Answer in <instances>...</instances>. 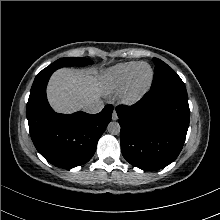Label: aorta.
Masks as SVG:
<instances>
[{
    "instance_id": "762f6f07",
    "label": "aorta",
    "mask_w": 220,
    "mask_h": 220,
    "mask_svg": "<svg viewBox=\"0 0 220 220\" xmlns=\"http://www.w3.org/2000/svg\"><path fill=\"white\" fill-rule=\"evenodd\" d=\"M120 125L118 122H110L108 124L107 130L112 135H118L120 133Z\"/></svg>"
}]
</instances>
